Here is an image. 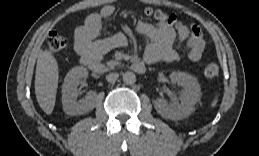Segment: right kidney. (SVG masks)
I'll use <instances>...</instances> for the list:
<instances>
[{
	"mask_svg": "<svg viewBox=\"0 0 259 156\" xmlns=\"http://www.w3.org/2000/svg\"><path fill=\"white\" fill-rule=\"evenodd\" d=\"M88 77V71L82 66L72 68L66 75L62 85L63 110L68 115H82L95 107L96 92L89 91L85 98L77 100V87L81 79Z\"/></svg>",
	"mask_w": 259,
	"mask_h": 156,
	"instance_id": "right-kidney-1",
	"label": "right kidney"
}]
</instances>
